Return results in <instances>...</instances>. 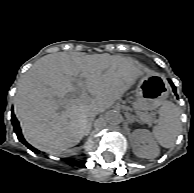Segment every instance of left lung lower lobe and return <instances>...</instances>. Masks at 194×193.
<instances>
[{
  "label": "left lung lower lobe",
  "instance_id": "0a47b994",
  "mask_svg": "<svg viewBox=\"0 0 194 193\" xmlns=\"http://www.w3.org/2000/svg\"><path fill=\"white\" fill-rule=\"evenodd\" d=\"M170 81V80H169ZM170 84L172 85V88H173V90H174V93L176 94V88H175V86H174V84L170 81Z\"/></svg>",
  "mask_w": 194,
  "mask_h": 193
}]
</instances>
